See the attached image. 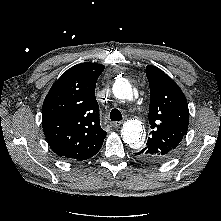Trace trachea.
I'll list each match as a JSON object with an SVG mask.
<instances>
[{"label": "trachea", "mask_w": 221, "mask_h": 221, "mask_svg": "<svg viewBox=\"0 0 221 221\" xmlns=\"http://www.w3.org/2000/svg\"><path fill=\"white\" fill-rule=\"evenodd\" d=\"M110 118H111V121H121L122 114L118 109L114 108L110 112Z\"/></svg>", "instance_id": "trachea-1"}]
</instances>
